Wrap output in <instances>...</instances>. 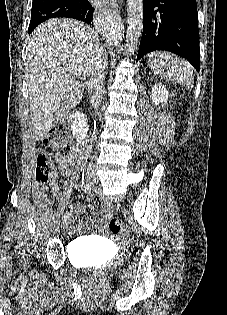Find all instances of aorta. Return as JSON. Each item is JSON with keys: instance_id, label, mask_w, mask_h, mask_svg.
<instances>
[{"instance_id": "1", "label": "aorta", "mask_w": 227, "mask_h": 315, "mask_svg": "<svg viewBox=\"0 0 227 315\" xmlns=\"http://www.w3.org/2000/svg\"><path fill=\"white\" fill-rule=\"evenodd\" d=\"M127 5L126 53L131 55L137 47L142 34L143 0H127ZM104 34L112 44H118L122 40V34L112 21L105 24Z\"/></svg>"}]
</instances>
